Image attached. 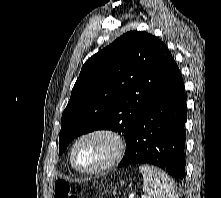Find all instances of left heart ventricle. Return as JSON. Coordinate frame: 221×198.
Segmentation results:
<instances>
[{
  "label": "left heart ventricle",
  "instance_id": "obj_1",
  "mask_svg": "<svg viewBox=\"0 0 221 198\" xmlns=\"http://www.w3.org/2000/svg\"><path fill=\"white\" fill-rule=\"evenodd\" d=\"M113 144L105 137H91L80 142L75 150V162L82 168H95L112 154Z\"/></svg>",
  "mask_w": 221,
  "mask_h": 198
}]
</instances>
